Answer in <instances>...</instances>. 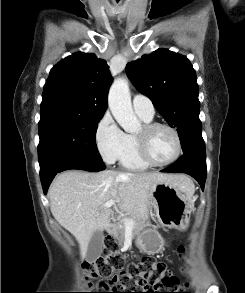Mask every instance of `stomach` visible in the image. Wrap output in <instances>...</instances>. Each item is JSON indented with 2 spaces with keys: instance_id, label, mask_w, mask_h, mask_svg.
<instances>
[{
  "instance_id": "0dacf381",
  "label": "stomach",
  "mask_w": 245,
  "mask_h": 293,
  "mask_svg": "<svg viewBox=\"0 0 245 293\" xmlns=\"http://www.w3.org/2000/svg\"><path fill=\"white\" fill-rule=\"evenodd\" d=\"M150 203L160 225L181 228L189 221L193 209L191 196L171 182L157 184L150 192ZM137 247L146 254L158 253L163 246V238L154 229H146L136 238Z\"/></svg>"
}]
</instances>
